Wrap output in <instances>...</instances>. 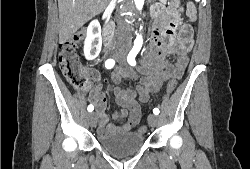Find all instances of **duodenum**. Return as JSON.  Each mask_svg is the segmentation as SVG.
Here are the masks:
<instances>
[{
	"label": "duodenum",
	"instance_id": "1",
	"mask_svg": "<svg viewBox=\"0 0 250 169\" xmlns=\"http://www.w3.org/2000/svg\"><path fill=\"white\" fill-rule=\"evenodd\" d=\"M103 40L109 47H112L115 42L113 23L109 19L106 20L103 27Z\"/></svg>",
	"mask_w": 250,
	"mask_h": 169
}]
</instances>
